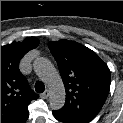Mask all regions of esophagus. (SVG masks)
<instances>
[{
    "mask_svg": "<svg viewBox=\"0 0 123 123\" xmlns=\"http://www.w3.org/2000/svg\"><path fill=\"white\" fill-rule=\"evenodd\" d=\"M48 96H49V91L48 90H45L43 93L40 94V97L43 98V99L48 98Z\"/></svg>",
    "mask_w": 123,
    "mask_h": 123,
    "instance_id": "obj_1",
    "label": "esophagus"
}]
</instances>
